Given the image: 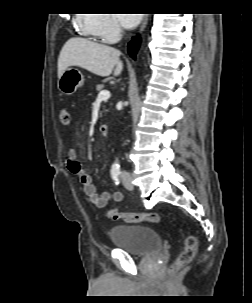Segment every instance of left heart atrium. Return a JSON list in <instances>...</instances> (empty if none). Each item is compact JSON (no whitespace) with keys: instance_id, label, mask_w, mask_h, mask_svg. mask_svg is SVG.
Here are the masks:
<instances>
[{"instance_id":"left-heart-atrium-1","label":"left heart atrium","mask_w":252,"mask_h":303,"mask_svg":"<svg viewBox=\"0 0 252 303\" xmlns=\"http://www.w3.org/2000/svg\"><path fill=\"white\" fill-rule=\"evenodd\" d=\"M120 23L126 28L135 27L140 21L139 14H117Z\"/></svg>"}]
</instances>
